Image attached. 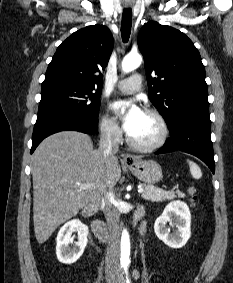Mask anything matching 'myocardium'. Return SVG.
Returning a JSON list of instances; mask_svg holds the SVG:
<instances>
[{
	"mask_svg": "<svg viewBox=\"0 0 233 283\" xmlns=\"http://www.w3.org/2000/svg\"><path fill=\"white\" fill-rule=\"evenodd\" d=\"M143 112L145 113H148L152 116H154L159 124H160V127H161V135L159 137V139L155 142V143H152V144H141V143H138L136 142L130 135L129 133H127L126 135V139H127V142L128 144L138 150V151H141V152H152V151H156L158 149H160L161 147L164 146V144L166 143L168 137H169V127H168V123L166 121V119L164 118V116L156 109L154 108H145L143 110Z\"/></svg>",
	"mask_w": 233,
	"mask_h": 283,
	"instance_id": "obj_1",
	"label": "myocardium"
}]
</instances>
